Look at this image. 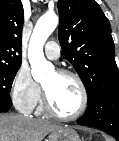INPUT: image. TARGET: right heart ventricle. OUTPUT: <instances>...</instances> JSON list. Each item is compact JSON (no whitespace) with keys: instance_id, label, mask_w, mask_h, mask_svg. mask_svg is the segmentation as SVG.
Listing matches in <instances>:
<instances>
[{"instance_id":"right-heart-ventricle-1","label":"right heart ventricle","mask_w":119,"mask_h":141,"mask_svg":"<svg viewBox=\"0 0 119 141\" xmlns=\"http://www.w3.org/2000/svg\"><path fill=\"white\" fill-rule=\"evenodd\" d=\"M38 112H39V113L43 112V106H42V105L39 106Z\"/></svg>"}]
</instances>
